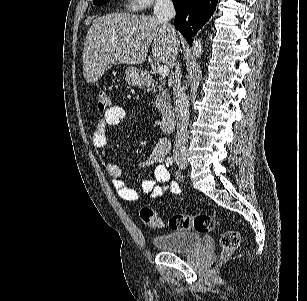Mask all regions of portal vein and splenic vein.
Instances as JSON below:
<instances>
[{
	"instance_id": "obj_1",
	"label": "portal vein and splenic vein",
	"mask_w": 307,
	"mask_h": 301,
	"mask_svg": "<svg viewBox=\"0 0 307 301\" xmlns=\"http://www.w3.org/2000/svg\"><path fill=\"white\" fill-rule=\"evenodd\" d=\"M157 70L160 76H168L169 74V68L165 64H157Z\"/></svg>"
}]
</instances>
